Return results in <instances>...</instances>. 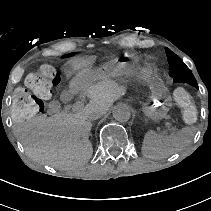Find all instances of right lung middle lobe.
<instances>
[{"mask_svg": "<svg viewBox=\"0 0 211 211\" xmlns=\"http://www.w3.org/2000/svg\"><path fill=\"white\" fill-rule=\"evenodd\" d=\"M75 53H71V54H67V55H64L63 57H68V56H71V55H74Z\"/></svg>", "mask_w": 211, "mask_h": 211, "instance_id": "1", "label": "right lung middle lobe"}]
</instances>
